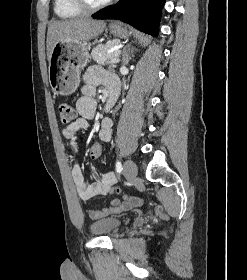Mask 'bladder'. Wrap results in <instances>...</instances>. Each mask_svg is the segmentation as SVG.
<instances>
[{
  "label": "bladder",
  "mask_w": 247,
  "mask_h": 280,
  "mask_svg": "<svg viewBox=\"0 0 247 280\" xmlns=\"http://www.w3.org/2000/svg\"><path fill=\"white\" fill-rule=\"evenodd\" d=\"M122 222L117 218H105L93 222L90 225V231L97 236H112L118 232Z\"/></svg>",
  "instance_id": "obj_1"
}]
</instances>
